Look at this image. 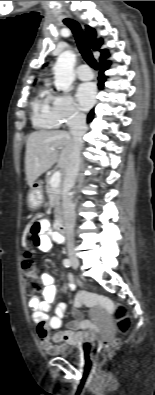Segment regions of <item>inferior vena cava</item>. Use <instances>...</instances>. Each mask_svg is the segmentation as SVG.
<instances>
[{
  "instance_id": "inferior-vena-cava-1",
  "label": "inferior vena cava",
  "mask_w": 155,
  "mask_h": 395,
  "mask_svg": "<svg viewBox=\"0 0 155 395\" xmlns=\"http://www.w3.org/2000/svg\"><path fill=\"white\" fill-rule=\"evenodd\" d=\"M70 134L73 137L74 145L70 156L69 164L65 170L64 179V225L67 237V249L69 255L74 253L73 231L76 221L75 204L72 201L71 189L75 185L76 178L81 164V149L83 146V135L87 130L86 116L82 113H75L69 123Z\"/></svg>"
}]
</instances>
